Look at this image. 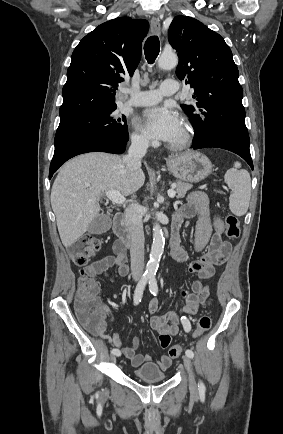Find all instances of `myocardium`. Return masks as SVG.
I'll list each match as a JSON object with an SVG mask.
<instances>
[{"label":"myocardium","mask_w":283,"mask_h":434,"mask_svg":"<svg viewBox=\"0 0 283 434\" xmlns=\"http://www.w3.org/2000/svg\"><path fill=\"white\" fill-rule=\"evenodd\" d=\"M182 134L181 137L175 141V142H170L168 147L171 150H183L186 147H188L193 139V130L190 126V124L188 123V121L183 120L182 121Z\"/></svg>","instance_id":"f54148a6"}]
</instances>
